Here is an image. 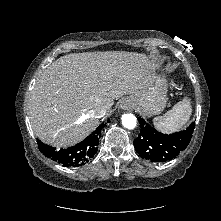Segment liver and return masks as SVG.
<instances>
[{"mask_svg": "<svg viewBox=\"0 0 221 221\" xmlns=\"http://www.w3.org/2000/svg\"><path fill=\"white\" fill-rule=\"evenodd\" d=\"M154 71V63L135 52H84L58 58L31 92L33 132L57 148L77 144L98 125L97 108L110 111L114 99L142 93L153 82Z\"/></svg>", "mask_w": 221, "mask_h": 221, "instance_id": "1", "label": "liver"}]
</instances>
